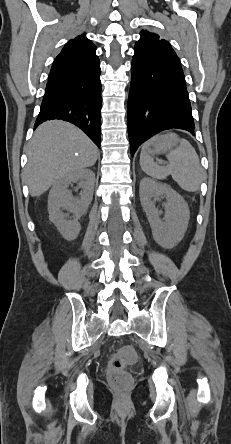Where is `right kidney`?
<instances>
[{"label":"right kidney","mask_w":231,"mask_h":444,"mask_svg":"<svg viewBox=\"0 0 231 444\" xmlns=\"http://www.w3.org/2000/svg\"><path fill=\"white\" fill-rule=\"evenodd\" d=\"M94 181V172L89 169H82L63 176L49 192V218L67 240L75 239L81 230L79 219L92 201ZM77 182L82 188L80 200L74 199L71 191L68 190L70 184ZM63 210L72 212L74 214L73 220H68Z\"/></svg>","instance_id":"ca27d5eb"}]
</instances>
